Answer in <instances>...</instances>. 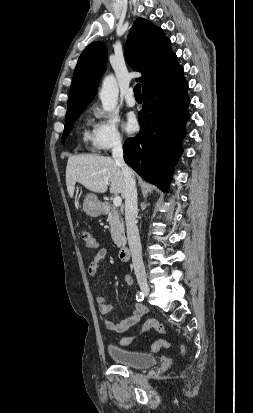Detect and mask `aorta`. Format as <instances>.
I'll return each instance as SVG.
<instances>
[{
    "label": "aorta",
    "instance_id": "aorta-1",
    "mask_svg": "<svg viewBox=\"0 0 253 413\" xmlns=\"http://www.w3.org/2000/svg\"><path fill=\"white\" fill-rule=\"evenodd\" d=\"M119 89L116 79L113 75L104 78L99 97L102 102L104 111H112L118 102Z\"/></svg>",
    "mask_w": 253,
    "mask_h": 413
}]
</instances>
